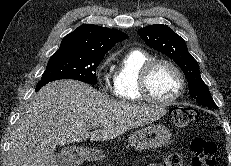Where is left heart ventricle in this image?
Masks as SVG:
<instances>
[{
  "instance_id": "left-heart-ventricle-1",
  "label": "left heart ventricle",
  "mask_w": 231,
  "mask_h": 166,
  "mask_svg": "<svg viewBox=\"0 0 231 166\" xmlns=\"http://www.w3.org/2000/svg\"><path fill=\"white\" fill-rule=\"evenodd\" d=\"M179 82L175 72L165 64L154 67L149 76V89L153 96L168 99L178 89Z\"/></svg>"
}]
</instances>
